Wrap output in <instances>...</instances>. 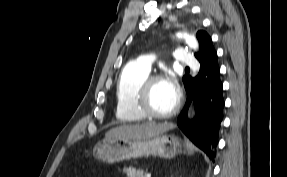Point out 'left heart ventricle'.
<instances>
[{
    "mask_svg": "<svg viewBox=\"0 0 287 177\" xmlns=\"http://www.w3.org/2000/svg\"><path fill=\"white\" fill-rule=\"evenodd\" d=\"M175 101L176 91L165 80L154 84L150 94V106L155 112H167L174 106Z\"/></svg>",
    "mask_w": 287,
    "mask_h": 177,
    "instance_id": "1",
    "label": "left heart ventricle"
}]
</instances>
